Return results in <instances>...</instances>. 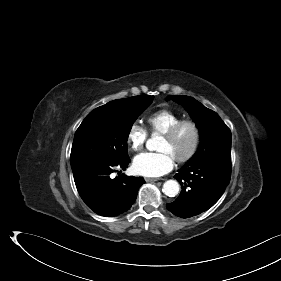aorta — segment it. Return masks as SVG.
<instances>
[{"mask_svg": "<svg viewBox=\"0 0 281 281\" xmlns=\"http://www.w3.org/2000/svg\"><path fill=\"white\" fill-rule=\"evenodd\" d=\"M155 138L149 139L146 143L148 150H154ZM179 183L176 180H168L163 184V193L169 197H174L179 192Z\"/></svg>", "mask_w": 281, "mask_h": 281, "instance_id": "aorta-1", "label": "aorta"}]
</instances>
